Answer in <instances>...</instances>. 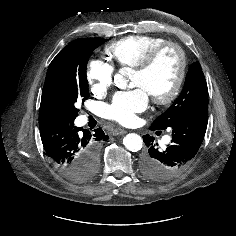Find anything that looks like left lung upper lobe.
Here are the masks:
<instances>
[{
    "label": "left lung upper lobe",
    "mask_w": 236,
    "mask_h": 236,
    "mask_svg": "<svg viewBox=\"0 0 236 236\" xmlns=\"http://www.w3.org/2000/svg\"><path fill=\"white\" fill-rule=\"evenodd\" d=\"M208 105V88L199 62L193 63L186 75L180 96L151 124L152 130H164L190 109Z\"/></svg>",
    "instance_id": "left-lung-upper-lobe-1"
}]
</instances>
